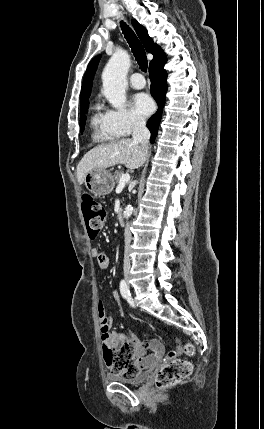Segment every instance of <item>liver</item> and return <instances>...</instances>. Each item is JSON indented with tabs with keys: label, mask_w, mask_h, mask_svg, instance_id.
<instances>
[{
	"label": "liver",
	"mask_w": 264,
	"mask_h": 429,
	"mask_svg": "<svg viewBox=\"0 0 264 429\" xmlns=\"http://www.w3.org/2000/svg\"><path fill=\"white\" fill-rule=\"evenodd\" d=\"M147 155L148 149H143L129 138L96 146L84 155L77 166L78 183L83 184L86 174L93 169H106L116 164L137 169L145 162Z\"/></svg>",
	"instance_id": "liver-1"
}]
</instances>
